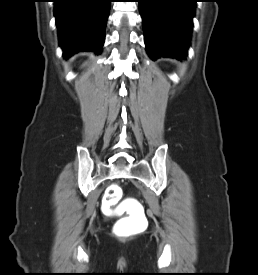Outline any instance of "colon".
<instances>
[{"instance_id":"obj_1","label":"colon","mask_w":258,"mask_h":275,"mask_svg":"<svg viewBox=\"0 0 258 275\" xmlns=\"http://www.w3.org/2000/svg\"><path fill=\"white\" fill-rule=\"evenodd\" d=\"M121 197V189L118 186H111L107 191L106 199L108 201H117Z\"/></svg>"}]
</instances>
